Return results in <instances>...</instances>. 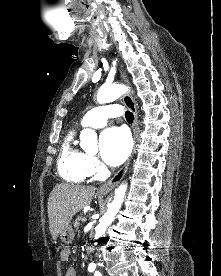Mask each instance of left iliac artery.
<instances>
[{
  "label": "left iliac artery",
  "instance_id": "obj_1",
  "mask_svg": "<svg viewBox=\"0 0 221 276\" xmlns=\"http://www.w3.org/2000/svg\"><path fill=\"white\" fill-rule=\"evenodd\" d=\"M94 276H102L100 272L96 271Z\"/></svg>",
  "mask_w": 221,
  "mask_h": 276
}]
</instances>
